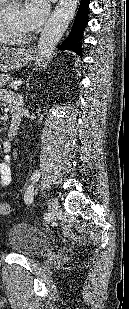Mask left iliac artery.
<instances>
[{
    "label": "left iliac artery",
    "instance_id": "left-iliac-artery-1",
    "mask_svg": "<svg viewBox=\"0 0 129 309\" xmlns=\"http://www.w3.org/2000/svg\"><path fill=\"white\" fill-rule=\"evenodd\" d=\"M39 177H40L39 171H38V170H35V172L33 173V179L37 181V180L39 179ZM32 201H33V194L30 193L29 195L26 196L25 202H26L27 204H31ZM50 218H51V213L46 214V216L44 217V219H45L46 221H50Z\"/></svg>",
    "mask_w": 129,
    "mask_h": 309
}]
</instances>
